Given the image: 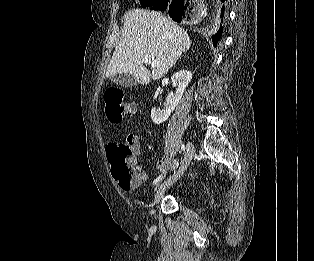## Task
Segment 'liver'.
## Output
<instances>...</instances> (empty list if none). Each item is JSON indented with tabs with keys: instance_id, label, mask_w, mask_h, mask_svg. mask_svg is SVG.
Instances as JSON below:
<instances>
[{
	"instance_id": "liver-1",
	"label": "liver",
	"mask_w": 314,
	"mask_h": 261,
	"mask_svg": "<svg viewBox=\"0 0 314 261\" xmlns=\"http://www.w3.org/2000/svg\"><path fill=\"white\" fill-rule=\"evenodd\" d=\"M187 32L159 12L132 9L124 15L123 32L110 60L106 76L130 73L137 83L147 85L171 69L179 57L189 50ZM156 61L152 71L142 61Z\"/></svg>"
}]
</instances>
